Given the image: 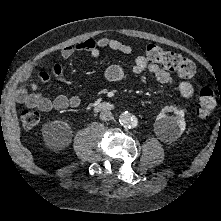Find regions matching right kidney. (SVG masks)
Instances as JSON below:
<instances>
[{
	"label": "right kidney",
	"instance_id": "1",
	"mask_svg": "<svg viewBox=\"0 0 221 221\" xmlns=\"http://www.w3.org/2000/svg\"><path fill=\"white\" fill-rule=\"evenodd\" d=\"M71 129L66 122L53 121L43 126V136L52 146H64L71 137Z\"/></svg>",
	"mask_w": 221,
	"mask_h": 221
}]
</instances>
